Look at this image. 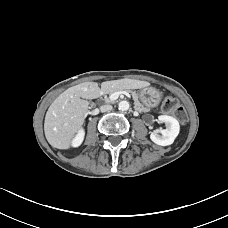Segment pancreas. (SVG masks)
Masks as SVG:
<instances>
[{
	"label": "pancreas",
	"mask_w": 228,
	"mask_h": 228,
	"mask_svg": "<svg viewBox=\"0 0 228 228\" xmlns=\"http://www.w3.org/2000/svg\"><path fill=\"white\" fill-rule=\"evenodd\" d=\"M116 90H111V91H109L108 93H113V92H115ZM131 95H132V97H133V102H134V105H135V108L138 110V111H148L149 110V107L148 106H144L143 104H141V103H139V101H138V97H137V95L134 93V92H132V91H128ZM105 101L107 102V103H110V102H112V100H110V98H105Z\"/></svg>",
	"instance_id": "cf45deb5"
}]
</instances>
